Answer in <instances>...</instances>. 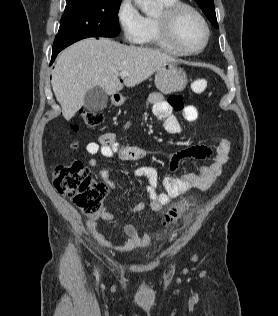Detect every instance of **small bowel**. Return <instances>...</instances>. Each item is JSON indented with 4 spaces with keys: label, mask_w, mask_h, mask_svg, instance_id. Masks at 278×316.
Instances as JSON below:
<instances>
[{
    "label": "small bowel",
    "mask_w": 278,
    "mask_h": 316,
    "mask_svg": "<svg viewBox=\"0 0 278 316\" xmlns=\"http://www.w3.org/2000/svg\"><path fill=\"white\" fill-rule=\"evenodd\" d=\"M148 100L152 104L154 116L163 122L164 129L170 134H180L182 132V126L173 114L174 111H181L186 121L193 122L198 119L199 112L197 107L194 105H184L179 97H171L169 100H166L161 94L152 93ZM129 125L130 121L126 123L125 127L128 128ZM231 146L232 141L224 137L219 140L215 149L208 146L195 145L177 151L172 156L169 166L173 173L176 172L180 164L188 158L204 159L213 157V161L208 165L202 166L196 173H187L181 176H166L162 181L164 192H158L160 178L156 168L146 165L137 167L134 170V175L148 181L147 193L149 207L155 211H160L164 206L168 205L172 199L183 195L191 189L208 190L221 175L222 168L229 159ZM85 149L86 152L92 156L88 161V165L91 168L97 166L98 163L94 157L99 154L106 158L117 156L121 161H138L147 156V150L145 148L133 145H122L113 133L103 134L99 142L87 143ZM100 176L108 187H112L113 181L109 170H101ZM146 206L147 203L141 201L133 206L131 210L133 212H140L143 211ZM102 219L111 222L114 219V215L111 211L106 209L103 211ZM88 229L99 244L119 252H129L147 246L150 243V235H141L134 224L125 225L124 238L121 244H117L108 238L100 229L97 222L89 221Z\"/></svg>",
    "instance_id": "obj_1"
}]
</instances>
